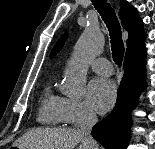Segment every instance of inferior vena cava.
<instances>
[{"label": "inferior vena cava", "instance_id": "inferior-vena-cava-1", "mask_svg": "<svg viewBox=\"0 0 155 149\" xmlns=\"http://www.w3.org/2000/svg\"><path fill=\"white\" fill-rule=\"evenodd\" d=\"M97 121V116L94 113L88 112L85 114L80 125V131L84 135V140L88 144L89 149H98L96 141L91 136L92 127Z\"/></svg>", "mask_w": 155, "mask_h": 149}]
</instances>
